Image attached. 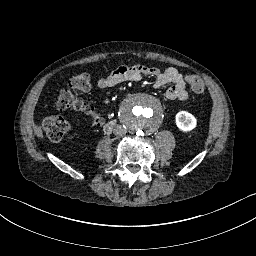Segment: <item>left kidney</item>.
<instances>
[{"mask_svg":"<svg viewBox=\"0 0 256 256\" xmlns=\"http://www.w3.org/2000/svg\"><path fill=\"white\" fill-rule=\"evenodd\" d=\"M177 127L183 131H190L196 126V119L186 111H180L176 115Z\"/></svg>","mask_w":256,"mask_h":256,"instance_id":"5707ae66","label":"left kidney"}]
</instances>
